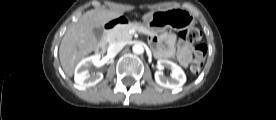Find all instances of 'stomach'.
<instances>
[{
    "mask_svg": "<svg viewBox=\"0 0 276 120\" xmlns=\"http://www.w3.org/2000/svg\"><path fill=\"white\" fill-rule=\"evenodd\" d=\"M194 24L195 18L191 12L183 8H172L153 11L148 18L143 19L142 25L152 33H160L166 29L187 30Z\"/></svg>",
    "mask_w": 276,
    "mask_h": 120,
    "instance_id": "1",
    "label": "stomach"
}]
</instances>
